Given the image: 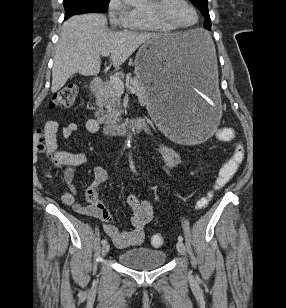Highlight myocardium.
Returning <instances> with one entry per match:
<instances>
[{"label":"myocardium","mask_w":286,"mask_h":308,"mask_svg":"<svg viewBox=\"0 0 286 308\" xmlns=\"http://www.w3.org/2000/svg\"><path fill=\"white\" fill-rule=\"evenodd\" d=\"M169 2L170 0H154L153 8L146 11L147 15L157 23L168 26L172 29H190L198 24L199 13L195 6L189 0H183V2H185L186 5H188L194 11L196 15L195 22L191 25H179L170 20L165 12V9Z\"/></svg>","instance_id":"f54148a6"}]
</instances>
